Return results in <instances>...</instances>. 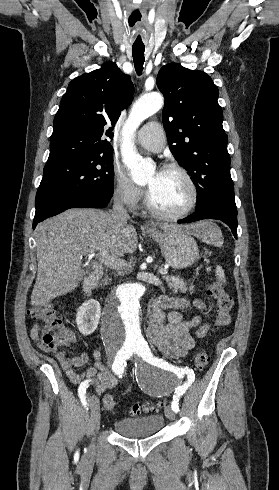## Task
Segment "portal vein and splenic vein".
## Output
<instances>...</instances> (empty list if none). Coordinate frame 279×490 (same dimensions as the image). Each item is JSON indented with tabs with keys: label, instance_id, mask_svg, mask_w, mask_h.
Here are the masks:
<instances>
[{
	"label": "portal vein and splenic vein",
	"instance_id": "portal-vein-and-splenic-vein-1",
	"mask_svg": "<svg viewBox=\"0 0 279 490\" xmlns=\"http://www.w3.org/2000/svg\"><path fill=\"white\" fill-rule=\"evenodd\" d=\"M91 256H96V254H91ZM97 258L99 262L104 264V266H107V268H119V266H125L124 262H121V260H116V258H111V256H108V254H105V252L98 254ZM159 272L160 274H167V268H161Z\"/></svg>",
	"mask_w": 279,
	"mask_h": 490
}]
</instances>
